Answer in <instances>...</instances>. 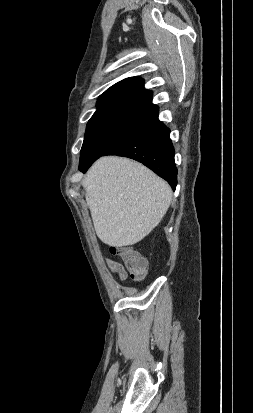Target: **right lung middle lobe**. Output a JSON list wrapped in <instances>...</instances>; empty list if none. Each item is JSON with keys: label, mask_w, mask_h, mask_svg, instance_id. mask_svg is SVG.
<instances>
[{"label": "right lung middle lobe", "mask_w": 253, "mask_h": 413, "mask_svg": "<svg viewBox=\"0 0 253 413\" xmlns=\"http://www.w3.org/2000/svg\"><path fill=\"white\" fill-rule=\"evenodd\" d=\"M148 119V117L127 114L92 117L86 127L80 154V165L102 156L115 144L139 129Z\"/></svg>", "instance_id": "1"}]
</instances>
